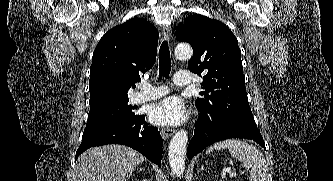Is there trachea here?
Here are the masks:
<instances>
[{
    "mask_svg": "<svg viewBox=\"0 0 333 181\" xmlns=\"http://www.w3.org/2000/svg\"><path fill=\"white\" fill-rule=\"evenodd\" d=\"M171 71L170 51L167 41H163L159 50V78L169 77Z\"/></svg>",
    "mask_w": 333,
    "mask_h": 181,
    "instance_id": "trachea-1",
    "label": "trachea"
}]
</instances>
